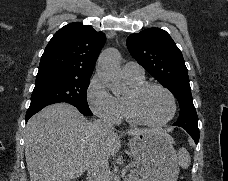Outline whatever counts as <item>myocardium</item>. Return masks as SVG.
Returning a JSON list of instances; mask_svg holds the SVG:
<instances>
[{
  "mask_svg": "<svg viewBox=\"0 0 228 181\" xmlns=\"http://www.w3.org/2000/svg\"><path fill=\"white\" fill-rule=\"evenodd\" d=\"M150 88H156L160 90L162 93L166 95L169 101V111L166 117H164L161 120L158 121H151L146 118H144L139 109H138V99L139 96L147 89ZM127 108L129 111V114L133 121L139 123V124H144L148 126H160L165 123H167L173 116L174 111H175V102L172 94L167 91L164 87L161 85L154 83V82H144L139 85H136L132 87L129 91V94L127 95Z\"/></svg>",
  "mask_w": 228,
  "mask_h": 181,
  "instance_id": "1",
  "label": "myocardium"
}]
</instances>
